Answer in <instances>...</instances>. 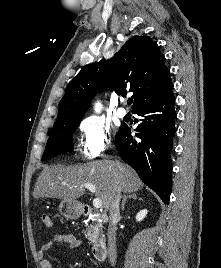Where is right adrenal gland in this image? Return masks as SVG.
<instances>
[{
	"instance_id": "1",
	"label": "right adrenal gland",
	"mask_w": 221,
	"mask_h": 268,
	"mask_svg": "<svg viewBox=\"0 0 221 268\" xmlns=\"http://www.w3.org/2000/svg\"><path fill=\"white\" fill-rule=\"evenodd\" d=\"M137 199V194L135 192H130V193H127V194H124L123 196V200H122V204H121V210L123 211L124 208H125V203H126V200L127 199ZM140 199V198H139Z\"/></svg>"
}]
</instances>
